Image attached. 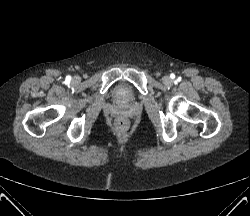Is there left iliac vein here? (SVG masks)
Here are the masks:
<instances>
[{"instance_id": "obj_1", "label": "left iliac vein", "mask_w": 250, "mask_h": 216, "mask_svg": "<svg viewBox=\"0 0 250 216\" xmlns=\"http://www.w3.org/2000/svg\"><path fill=\"white\" fill-rule=\"evenodd\" d=\"M163 82H164V84H166V85H171V84H172V80H171V78L168 77V76H165V77L163 78Z\"/></svg>"}]
</instances>
